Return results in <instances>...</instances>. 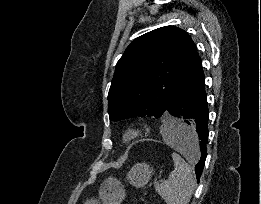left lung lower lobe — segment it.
<instances>
[{
  "label": "left lung lower lobe",
  "mask_w": 261,
  "mask_h": 204,
  "mask_svg": "<svg viewBox=\"0 0 261 204\" xmlns=\"http://www.w3.org/2000/svg\"><path fill=\"white\" fill-rule=\"evenodd\" d=\"M165 114L178 117L187 124L174 130L178 141L187 151L195 153L194 144L198 143L199 160L195 172L199 182L207 156L209 112L202 62L197 52L170 98Z\"/></svg>",
  "instance_id": "obj_1"
}]
</instances>
